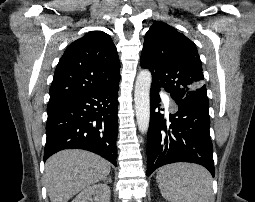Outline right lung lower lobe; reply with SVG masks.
<instances>
[{"mask_svg": "<svg viewBox=\"0 0 255 202\" xmlns=\"http://www.w3.org/2000/svg\"><path fill=\"white\" fill-rule=\"evenodd\" d=\"M118 90L119 82L106 89L50 100L44 161L60 150L79 148L116 166Z\"/></svg>", "mask_w": 255, "mask_h": 202, "instance_id": "98d812e1", "label": "right lung lower lobe"}]
</instances>
